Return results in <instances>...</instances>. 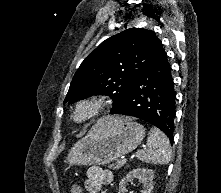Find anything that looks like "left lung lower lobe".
<instances>
[{"instance_id": "0a47b994", "label": "left lung lower lobe", "mask_w": 221, "mask_h": 193, "mask_svg": "<svg viewBox=\"0 0 221 193\" xmlns=\"http://www.w3.org/2000/svg\"><path fill=\"white\" fill-rule=\"evenodd\" d=\"M176 92L166 52L133 81L125 99L111 110L140 118L162 130L173 143Z\"/></svg>"}]
</instances>
